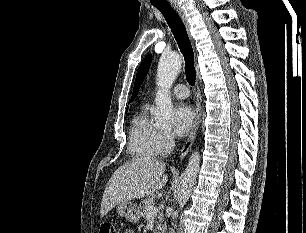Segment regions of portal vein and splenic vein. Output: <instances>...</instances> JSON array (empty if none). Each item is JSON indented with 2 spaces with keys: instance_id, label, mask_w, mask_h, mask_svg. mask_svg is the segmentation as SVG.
Instances as JSON below:
<instances>
[{
  "instance_id": "1",
  "label": "portal vein and splenic vein",
  "mask_w": 306,
  "mask_h": 233,
  "mask_svg": "<svg viewBox=\"0 0 306 233\" xmlns=\"http://www.w3.org/2000/svg\"><path fill=\"white\" fill-rule=\"evenodd\" d=\"M158 212V208L156 206H151L148 208V216H154Z\"/></svg>"
}]
</instances>
